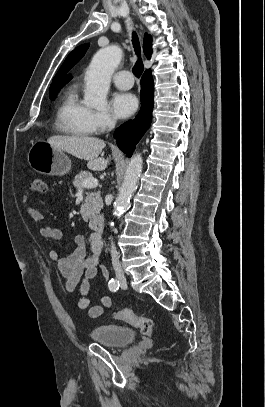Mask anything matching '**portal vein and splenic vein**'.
I'll use <instances>...</instances> for the list:
<instances>
[{
    "label": "portal vein and splenic vein",
    "instance_id": "18ae733b",
    "mask_svg": "<svg viewBox=\"0 0 265 407\" xmlns=\"http://www.w3.org/2000/svg\"><path fill=\"white\" fill-rule=\"evenodd\" d=\"M97 185H98V180L95 178L86 179L82 184V186L85 188H94V187H97Z\"/></svg>",
    "mask_w": 265,
    "mask_h": 407
}]
</instances>
